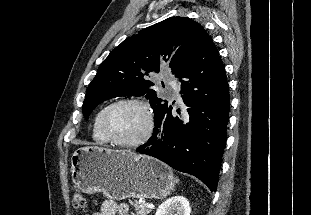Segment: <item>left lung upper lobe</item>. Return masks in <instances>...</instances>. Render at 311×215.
<instances>
[{"mask_svg":"<svg viewBox=\"0 0 311 215\" xmlns=\"http://www.w3.org/2000/svg\"><path fill=\"white\" fill-rule=\"evenodd\" d=\"M207 32L187 17H170L125 39L101 63L82 110L87 119L100 103L119 96H145L155 116L168 103L157 97L153 73L176 74L193 57Z\"/></svg>","mask_w":311,"mask_h":215,"instance_id":"left-lung-upper-lobe-1","label":"left lung upper lobe"}]
</instances>
